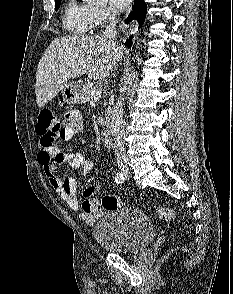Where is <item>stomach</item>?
Listing matches in <instances>:
<instances>
[{
  "instance_id": "stomach-1",
  "label": "stomach",
  "mask_w": 233,
  "mask_h": 294,
  "mask_svg": "<svg viewBox=\"0 0 233 294\" xmlns=\"http://www.w3.org/2000/svg\"><path fill=\"white\" fill-rule=\"evenodd\" d=\"M62 97L68 104L82 103L81 87L76 82H69L62 89Z\"/></svg>"
}]
</instances>
